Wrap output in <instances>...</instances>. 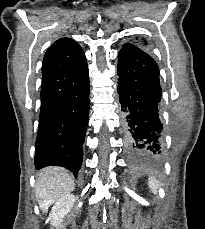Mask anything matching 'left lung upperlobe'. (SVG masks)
<instances>
[{
	"label": "left lung upper lobe",
	"mask_w": 205,
	"mask_h": 229,
	"mask_svg": "<svg viewBox=\"0 0 205 229\" xmlns=\"http://www.w3.org/2000/svg\"><path fill=\"white\" fill-rule=\"evenodd\" d=\"M136 40H138V38H136ZM133 44H135V43H133ZM135 45L140 46V47H143V48H146V46H145L146 44H141V45L140 44L139 45L138 44H135Z\"/></svg>",
	"instance_id": "1"
}]
</instances>
